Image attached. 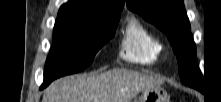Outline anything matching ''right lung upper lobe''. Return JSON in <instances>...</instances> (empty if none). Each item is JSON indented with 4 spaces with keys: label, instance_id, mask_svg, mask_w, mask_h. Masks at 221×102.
Listing matches in <instances>:
<instances>
[{
    "label": "right lung upper lobe",
    "instance_id": "right-lung-upper-lobe-1",
    "mask_svg": "<svg viewBox=\"0 0 221 102\" xmlns=\"http://www.w3.org/2000/svg\"><path fill=\"white\" fill-rule=\"evenodd\" d=\"M124 0H69L63 4L58 16H113L121 13Z\"/></svg>",
    "mask_w": 221,
    "mask_h": 102
}]
</instances>
